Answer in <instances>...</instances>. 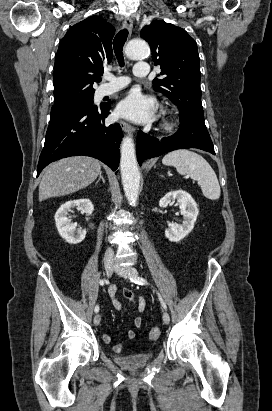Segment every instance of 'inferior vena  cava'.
I'll return each instance as SVG.
<instances>
[{
  "instance_id": "inferior-vena-cava-1",
  "label": "inferior vena cava",
  "mask_w": 272,
  "mask_h": 411,
  "mask_svg": "<svg viewBox=\"0 0 272 411\" xmlns=\"http://www.w3.org/2000/svg\"><path fill=\"white\" fill-rule=\"evenodd\" d=\"M113 256H114L113 250L111 248H108V250L105 252V255H104V261L112 262Z\"/></svg>"
}]
</instances>
